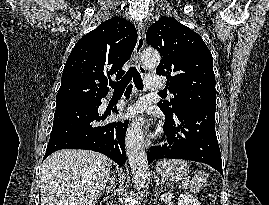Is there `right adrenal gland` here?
Listing matches in <instances>:
<instances>
[{
	"mask_svg": "<svg viewBox=\"0 0 269 205\" xmlns=\"http://www.w3.org/2000/svg\"><path fill=\"white\" fill-rule=\"evenodd\" d=\"M114 188V185H111V187L106 188V193L109 194L110 191Z\"/></svg>",
	"mask_w": 269,
	"mask_h": 205,
	"instance_id": "right-adrenal-gland-1",
	"label": "right adrenal gland"
}]
</instances>
